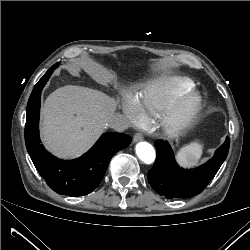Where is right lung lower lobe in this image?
<instances>
[{
	"label": "right lung lower lobe",
	"instance_id": "obj_1",
	"mask_svg": "<svg viewBox=\"0 0 250 250\" xmlns=\"http://www.w3.org/2000/svg\"><path fill=\"white\" fill-rule=\"evenodd\" d=\"M56 67L57 63L38 81L30 95L26 110V147L35 168L52 190L72 197L83 196L99 185L113 155L128 147L131 138L121 133H104L87 153L70 161L47 152L39 137L40 97Z\"/></svg>",
	"mask_w": 250,
	"mask_h": 250
}]
</instances>
